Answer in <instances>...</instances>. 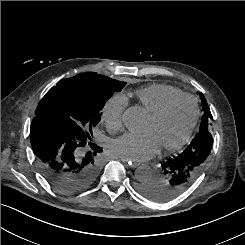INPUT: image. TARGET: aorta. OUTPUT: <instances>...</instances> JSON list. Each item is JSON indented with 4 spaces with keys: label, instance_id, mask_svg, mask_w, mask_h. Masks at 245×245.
Wrapping results in <instances>:
<instances>
[{
    "label": "aorta",
    "instance_id": "1",
    "mask_svg": "<svg viewBox=\"0 0 245 245\" xmlns=\"http://www.w3.org/2000/svg\"><path fill=\"white\" fill-rule=\"evenodd\" d=\"M123 123L130 132L139 131L144 123V115L139 107L128 108L123 114ZM135 176L138 181L146 182L153 178V171L148 165H141L136 169Z\"/></svg>",
    "mask_w": 245,
    "mask_h": 245
}]
</instances>
